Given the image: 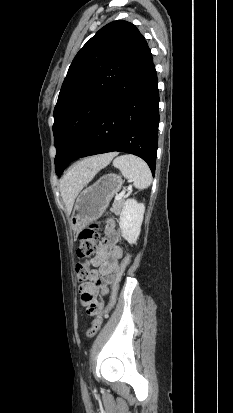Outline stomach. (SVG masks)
<instances>
[{
    "label": "stomach",
    "mask_w": 233,
    "mask_h": 413,
    "mask_svg": "<svg viewBox=\"0 0 233 413\" xmlns=\"http://www.w3.org/2000/svg\"><path fill=\"white\" fill-rule=\"evenodd\" d=\"M123 180L116 174L102 176L85 188L77 197L70 224L75 233L97 220L107 209L111 199L121 189Z\"/></svg>",
    "instance_id": "stomach-1"
}]
</instances>
